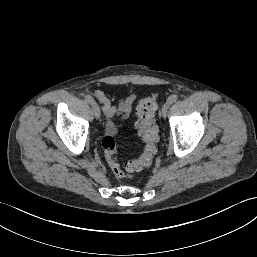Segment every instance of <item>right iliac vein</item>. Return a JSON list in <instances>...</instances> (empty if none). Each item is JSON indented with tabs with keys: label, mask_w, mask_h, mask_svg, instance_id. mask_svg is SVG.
I'll return each instance as SVG.
<instances>
[{
	"label": "right iliac vein",
	"mask_w": 257,
	"mask_h": 257,
	"mask_svg": "<svg viewBox=\"0 0 257 257\" xmlns=\"http://www.w3.org/2000/svg\"><path fill=\"white\" fill-rule=\"evenodd\" d=\"M92 108H93V113L96 119L100 118L101 112H100V107L98 106L97 103H93L92 104Z\"/></svg>",
	"instance_id": "right-iliac-vein-1"
}]
</instances>
